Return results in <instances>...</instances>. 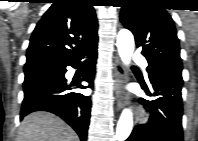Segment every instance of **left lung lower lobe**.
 <instances>
[{
	"label": "left lung lower lobe",
	"mask_w": 198,
	"mask_h": 141,
	"mask_svg": "<svg viewBox=\"0 0 198 141\" xmlns=\"http://www.w3.org/2000/svg\"><path fill=\"white\" fill-rule=\"evenodd\" d=\"M152 100L140 99L150 113L147 124L136 125L126 141H183L182 132V75L172 71H158L148 75Z\"/></svg>",
	"instance_id": "obj_1"
}]
</instances>
